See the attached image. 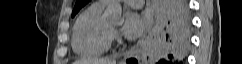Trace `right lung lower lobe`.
Here are the masks:
<instances>
[{
  "mask_svg": "<svg viewBox=\"0 0 242 64\" xmlns=\"http://www.w3.org/2000/svg\"><path fill=\"white\" fill-rule=\"evenodd\" d=\"M158 15L164 22L165 42L172 53L161 58L158 64H172L176 55L182 54L186 46L189 28L188 13L184 0H158ZM128 64H137L136 59L127 60Z\"/></svg>",
  "mask_w": 242,
  "mask_h": 64,
  "instance_id": "98d812e1",
  "label": "right lung lower lobe"
}]
</instances>
